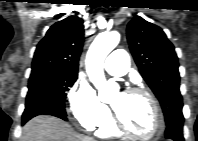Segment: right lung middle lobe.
Here are the masks:
<instances>
[{
  "label": "right lung middle lobe",
  "mask_w": 198,
  "mask_h": 141,
  "mask_svg": "<svg viewBox=\"0 0 198 141\" xmlns=\"http://www.w3.org/2000/svg\"><path fill=\"white\" fill-rule=\"evenodd\" d=\"M76 79L77 73H31L26 96V108L44 106L65 112L66 92L69 87H72Z\"/></svg>",
  "instance_id": "1"
}]
</instances>
